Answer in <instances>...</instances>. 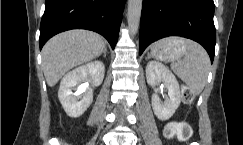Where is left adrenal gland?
Here are the masks:
<instances>
[{
  "label": "left adrenal gland",
  "instance_id": "1",
  "mask_svg": "<svg viewBox=\"0 0 243 145\" xmlns=\"http://www.w3.org/2000/svg\"><path fill=\"white\" fill-rule=\"evenodd\" d=\"M150 58V55L148 54V57L146 59H149Z\"/></svg>",
  "mask_w": 243,
  "mask_h": 145
}]
</instances>
